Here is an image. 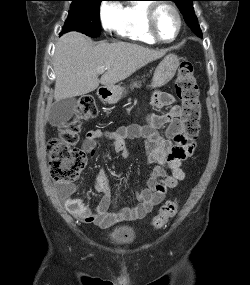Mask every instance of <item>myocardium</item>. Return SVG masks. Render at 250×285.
Returning <instances> with one entry per match:
<instances>
[{"label":"myocardium","mask_w":250,"mask_h":285,"mask_svg":"<svg viewBox=\"0 0 250 285\" xmlns=\"http://www.w3.org/2000/svg\"><path fill=\"white\" fill-rule=\"evenodd\" d=\"M162 7H166L168 9H170L175 14L177 22H178V29L176 31V34L174 35V37H172L170 39L162 38L156 30V16H157L158 10ZM146 26H147L148 34L156 42L171 43V42L175 41L178 38V36L180 35V33L182 31V27H183V20H182V16L180 14V11L178 10V8L175 5H173L169 2H156V3H151L148 7L147 18H146Z\"/></svg>","instance_id":"obj_1"}]
</instances>
